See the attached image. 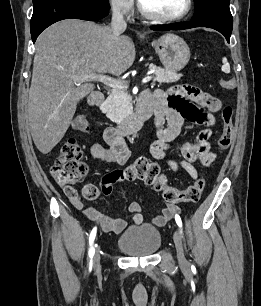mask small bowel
Wrapping results in <instances>:
<instances>
[{
    "label": "small bowel",
    "instance_id": "obj_1",
    "mask_svg": "<svg viewBox=\"0 0 261 306\" xmlns=\"http://www.w3.org/2000/svg\"><path fill=\"white\" fill-rule=\"evenodd\" d=\"M142 99L149 102L153 107L155 116V127L157 139L151 144V155L158 161L165 163L174 172H184L192 178L197 177V170L194 162L200 161L204 166H209L215 159L216 154L211 151L210 137L212 128L216 123L214 113L221 107V101L208 92L192 85H179L168 92L156 90L154 93H145ZM187 120L196 125H203L206 128L200 131L196 137L183 143L180 146L173 147V142L179 136L184 121ZM105 145L94 143L89 149L90 155L98 160L108 163L124 164L129 151L123 137L113 128L106 130L104 134ZM175 148L181 155L179 161L169 157L168 152ZM115 170L111 173L117 172ZM109 173L102 180V190L106 195H111L115 184L109 180ZM93 187V185L84 186L82 192ZM67 196L76 209L81 211L89 220L100 225L104 232L120 234L127 223L119 218H113L103 214L91 206H85L73 189H65ZM179 210L176 205H169L152 220L156 226H163L170 221L175 212ZM129 211L133 214V222L140 225L143 222V215L140 211V205L132 202Z\"/></svg>",
    "mask_w": 261,
    "mask_h": 306
}]
</instances>
